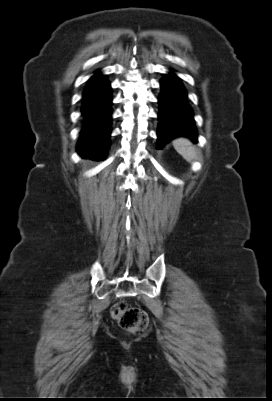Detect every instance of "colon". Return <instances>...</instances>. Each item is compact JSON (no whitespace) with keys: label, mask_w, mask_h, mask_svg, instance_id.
I'll return each mask as SVG.
<instances>
[{"label":"colon","mask_w":272,"mask_h":401,"mask_svg":"<svg viewBox=\"0 0 272 401\" xmlns=\"http://www.w3.org/2000/svg\"><path fill=\"white\" fill-rule=\"evenodd\" d=\"M111 317L126 331L138 333L148 325L146 312L139 307H130L125 301H118L110 309Z\"/></svg>","instance_id":"1"}]
</instances>
